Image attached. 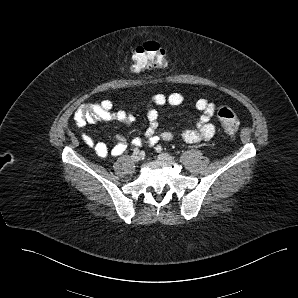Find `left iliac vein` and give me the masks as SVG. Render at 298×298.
I'll return each instance as SVG.
<instances>
[{
    "label": "left iliac vein",
    "instance_id": "4c4485c4",
    "mask_svg": "<svg viewBox=\"0 0 298 298\" xmlns=\"http://www.w3.org/2000/svg\"><path fill=\"white\" fill-rule=\"evenodd\" d=\"M158 158L162 161H171L172 157L168 153H160Z\"/></svg>",
    "mask_w": 298,
    "mask_h": 298
}]
</instances>
